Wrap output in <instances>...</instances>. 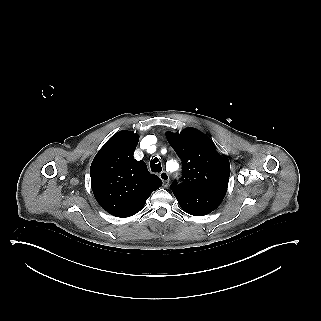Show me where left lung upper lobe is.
Listing matches in <instances>:
<instances>
[{"mask_svg":"<svg viewBox=\"0 0 321 321\" xmlns=\"http://www.w3.org/2000/svg\"><path fill=\"white\" fill-rule=\"evenodd\" d=\"M166 136L183 165V182L171 184L173 193L227 190L229 160L216 151L207 135L195 128H186L181 133L167 132Z\"/></svg>","mask_w":321,"mask_h":321,"instance_id":"obj_1","label":"left lung upper lobe"}]
</instances>
